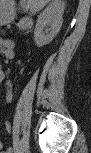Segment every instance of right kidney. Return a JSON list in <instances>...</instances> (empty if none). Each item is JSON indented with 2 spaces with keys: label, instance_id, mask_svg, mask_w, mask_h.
I'll return each mask as SVG.
<instances>
[{
  "label": "right kidney",
  "instance_id": "obj_1",
  "mask_svg": "<svg viewBox=\"0 0 91 153\" xmlns=\"http://www.w3.org/2000/svg\"><path fill=\"white\" fill-rule=\"evenodd\" d=\"M64 1L53 0L38 16L34 32V40L38 47L49 44L58 34L63 23ZM49 27V33L43 29Z\"/></svg>",
  "mask_w": 91,
  "mask_h": 153
}]
</instances>
